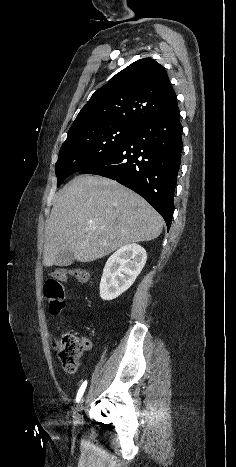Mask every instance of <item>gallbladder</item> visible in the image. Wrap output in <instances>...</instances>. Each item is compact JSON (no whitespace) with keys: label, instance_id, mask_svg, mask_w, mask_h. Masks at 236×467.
<instances>
[{"label":"gallbladder","instance_id":"obj_1","mask_svg":"<svg viewBox=\"0 0 236 467\" xmlns=\"http://www.w3.org/2000/svg\"><path fill=\"white\" fill-rule=\"evenodd\" d=\"M58 266H69L74 262V255L71 251L62 250L56 256Z\"/></svg>","mask_w":236,"mask_h":467}]
</instances>
